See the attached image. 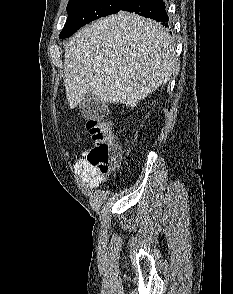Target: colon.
Masks as SVG:
<instances>
[{"mask_svg":"<svg viewBox=\"0 0 233 294\" xmlns=\"http://www.w3.org/2000/svg\"><path fill=\"white\" fill-rule=\"evenodd\" d=\"M93 141L87 153V162L98 173L106 174L113 170L121 154V146L116 141L111 123L101 120H89L86 124Z\"/></svg>","mask_w":233,"mask_h":294,"instance_id":"5ec220e1","label":"colon"}]
</instances>
